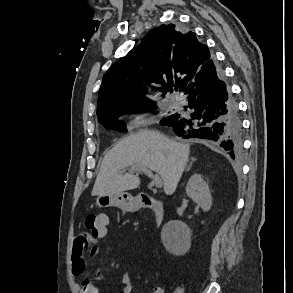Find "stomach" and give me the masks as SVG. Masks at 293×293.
<instances>
[{"mask_svg": "<svg viewBox=\"0 0 293 293\" xmlns=\"http://www.w3.org/2000/svg\"><path fill=\"white\" fill-rule=\"evenodd\" d=\"M96 205L104 207H118L123 211L129 212L136 208V201L131 194L122 192L114 195H98Z\"/></svg>", "mask_w": 293, "mask_h": 293, "instance_id": "stomach-1", "label": "stomach"}]
</instances>
